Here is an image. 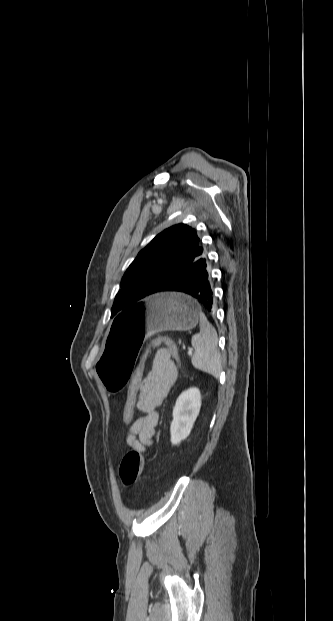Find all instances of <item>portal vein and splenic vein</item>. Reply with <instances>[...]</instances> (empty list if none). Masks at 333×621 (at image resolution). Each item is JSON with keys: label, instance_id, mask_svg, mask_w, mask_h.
Returning <instances> with one entry per match:
<instances>
[{"label": "portal vein and splenic vein", "instance_id": "obj_1", "mask_svg": "<svg viewBox=\"0 0 333 621\" xmlns=\"http://www.w3.org/2000/svg\"><path fill=\"white\" fill-rule=\"evenodd\" d=\"M192 352H193L192 350H189L188 355H192Z\"/></svg>", "mask_w": 333, "mask_h": 621}]
</instances>
